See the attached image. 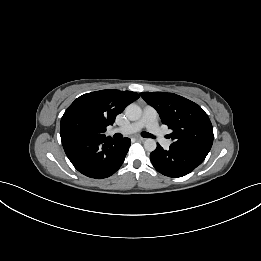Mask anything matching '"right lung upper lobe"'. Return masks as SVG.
<instances>
[{
	"instance_id": "obj_1",
	"label": "right lung upper lobe",
	"mask_w": 261,
	"mask_h": 261,
	"mask_svg": "<svg viewBox=\"0 0 261 261\" xmlns=\"http://www.w3.org/2000/svg\"><path fill=\"white\" fill-rule=\"evenodd\" d=\"M138 98L139 94L135 92L115 89L87 93L78 97L67 108L61 123L69 117L83 115L93 120L101 132V136H104L106 127L112 125L115 117Z\"/></svg>"
}]
</instances>
